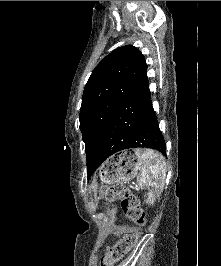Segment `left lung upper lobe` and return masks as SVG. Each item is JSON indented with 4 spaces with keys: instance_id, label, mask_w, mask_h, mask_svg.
<instances>
[{
    "instance_id": "left-lung-upper-lobe-1",
    "label": "left lung upper lobe",
    "mask_w": 221,
    "mask_h": 266,
    "mask_svg": "<svg viewBox=\"0 0 221 266\" xmlns=\"http://www.w3.org/2000/svg\"><path fill=\"white\" fill-rule=\"evenodd\" d=\"M147 79L143 54L126 45L107 55L92 71L84 88L80 129L87 166L92 162L116 112L125 99Z\"/></svg>"
}]
</instances>
